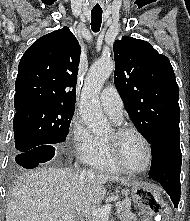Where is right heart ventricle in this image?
I'll list each match as a JSON object with an SVG mask.
<instances>
[{
	"label": "right heart ventricle",
	"instance_id": "right-heart-ventricle-1",
	"mask_svg": "<svg viewBox=\"0 0 190 221\" xmlns=\"http://www.w3.org/2000/svg\"><path fill=\"white\" fill-rule=\"evenodd\" d=\"M88 164L99 171L121 172V170L112 161L104 139H98V148Z\"/></svg>",
	"mask_w": 190,
	"mask_h": 221
}]
</instances>
